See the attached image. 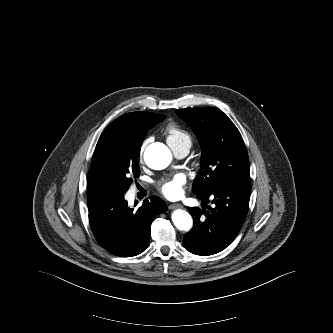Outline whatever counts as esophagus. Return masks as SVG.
Returning a JSON list of instances; mask_svg holds the SVG:
<instances>
[{"instance_id":"34e87169","label":"esophagus","mask_w":333,"mask_h":333,"mask_svg":"<svg viewBox=\"0 0 333 333\" xmlns=\"http://www.w3.org/2000/svg\"><path fill=\"white\" fill-rule=\"evenodd\" d=\"M169 209H179V208H183V205L182 204H179V203H175V204H171L169 205L168 207Z\"/></svg>"}]
</instances>
